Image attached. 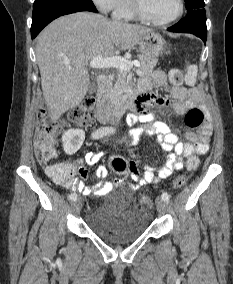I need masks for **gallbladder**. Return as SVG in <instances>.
I'll use <instances>...</instances> for the list:
<instances>
[{"label": "gallbladder", "instance_id": "obj_1", "mask_svg": "<svg viewBox=\"0 0 233 284\" xmlns=\"http://www.w3.org/2000/svg\"><path fill=\"white\" fill-rule=\"evenodd\" d=\"M97 90L96 80L94 77L91 78L88 86V92L94 93Z\"/></svg>", "mask_w": 233, "mask_h": 284}]
</instances>
